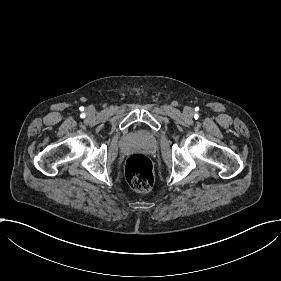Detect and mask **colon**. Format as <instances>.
<instances>
[{
    "label": "colon",
    "instance_id": "5ec220e1",
    "mask_svg": "<svg viewBox=\"0 0 281 281\" xmlns=\"http://www.w3.org/2000/svg\"><path fill=\"white\" fill-rule=\"evenodd\" d=\"M125 176L129 186L136 191H148L155 177L150 160L142 154H132L125 162Z\"/></svg>",
    "mask_w": 281,
    "mask_h": 281
}]
</instances>
